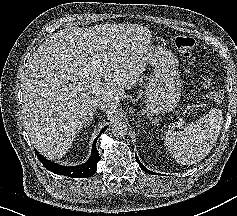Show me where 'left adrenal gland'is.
Masks as SVG:
<instances>
[{
	"label": "left adrenal gland",
	"mask_w": 237,
	"mask_h": 216,
	"mask_svg": "<svg viewBox=\"0 0 237 216\" xmlns=\"http://www.w3.org/2000/svg\"><path fill=\"white\" fill-rule=\"evenodd\" d=\"M140 122H141V118L140 117H138V127H140L141 125H140Z\"/></svg>",
	"instance_id": "a2214340"
}]
</instances>
